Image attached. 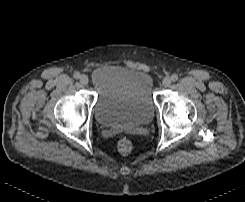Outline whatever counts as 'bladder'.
Masks as SVG:
<instances>
[{
    "mask_svg": "<svg viewBox=\"0 0 245 202\" xmlns=\"http://www.w3.org/2000/svg\"><path fill=\"white\" fill-rule=\"evenodd\" d=\"M90 80L97 98L93 116L101 127L150 123L157 106L152 76L128 66H101L93 69Z\"/></svg>",
    "mask_w": 245,
    "mask_h": 202,
    "instance_id": "obj_1",
    "label": "bladder"
}]
</instances>
